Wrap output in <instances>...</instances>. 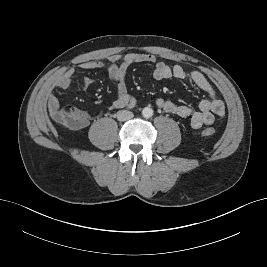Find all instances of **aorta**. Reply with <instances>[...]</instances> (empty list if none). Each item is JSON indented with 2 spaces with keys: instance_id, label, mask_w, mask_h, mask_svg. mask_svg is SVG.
I'll list each match as a JSON object with an SVG mask.
<instances>
[{
  "instance_id": "762f6f07",
  "label": "aorta",
  "mask_w": 267,
  "mask_h": 267,
  "mask_svg": "<svg viewBox=\"0 0 267 267\" xmlns=\"http://www.w3.org/2000/svg\"><path fill=\"white\" fill-rule=\"evenodd\" d=\"M142 115L143 117L145 118H150L153 116V110L149 107H145L143 110H142Z\"/></svg>"
}]
</instances>
